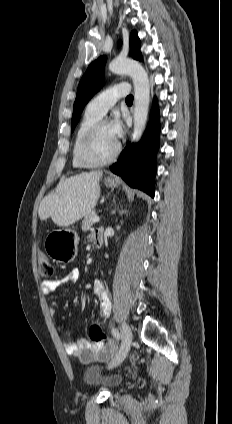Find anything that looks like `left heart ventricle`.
I'll use <instances>...</instances> for the list:
<instances>
[{
	"label": "left heart ventricle",
	"instance_id": "left-heart-ventricle-1",
	"mask_svg": "<svg viewBox=\"0 0 232 424\" xmlns=\"http://www.w3.org/2000/svg\"><path fill=\"white\" fill-rule=\"evenodd\" d=\"M117 142L118 141L111 132L109 124H106L97 133L89 153L94 159H105L114 152Z\"/></svg>",
	"mask_w": 232,
	"mask_h": 424
}]
</instances>
